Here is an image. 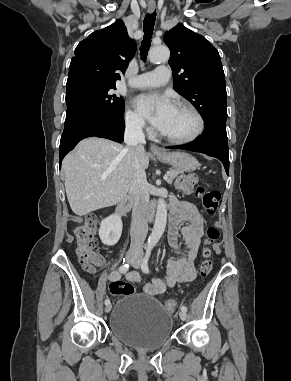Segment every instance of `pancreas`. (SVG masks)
Wrapping results in <instances>:
<instances>
[{"instance_id": "pancreas-1", "label": "pancreas", "mask_w": 291, "mask_h": 381, "mask_svg": "<svg viewBox=\"0 0 291 381\" xmlns=\"http://www.w3.org/2000/svg\"><path fill=\"white\" fill-rule=\"evenodd\" d=\"M180 171L176 169H171L168 172V179L166 180L168 184H172L173 180L179 175Z\"/></svg>"}]
</instances>
